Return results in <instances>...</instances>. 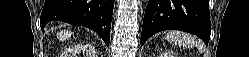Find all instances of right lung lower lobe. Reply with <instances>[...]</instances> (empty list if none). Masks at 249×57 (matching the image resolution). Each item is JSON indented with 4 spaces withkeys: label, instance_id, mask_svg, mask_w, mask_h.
I'll list each match as a JSON object with an SVG mask.
<instances>
[{
    "label": "right lung lower lobe",
    "instance_id": "right-lung-lower-lobe-1",
    "mask_svg": "<svg viewBox=\"0 0 249 57\" xmlns=\"http://www.w3.org/2000/svg\"><path fill=\"white\" fill-rule=\"evenodd\" d=\"M114 0H45L41 13L42 27L62 21L96 31L109 46Z\"/></svg>",
    "mask_w": 249,
    "mask_h": 57
}]
</instances>
